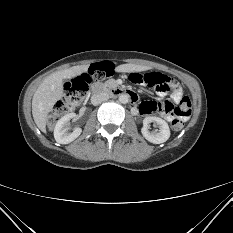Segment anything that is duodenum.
<instances>
[{"label":"duodenum","mask_w":233,"mask_h":233,"mask_svg":"<svg viewBox=\"0 0 233 233\" xmlns=\"http://www.w3.org/2000/svg\"><path fill=\"white\" fill-rule=\"evenodd\" d=\"M90 90L92 93H101L104 90V85L101 82H96L95 84L92 85ZM112 94L115 96H127L131 100H136V98H137L136 94H134L133 92L128 91L120 86H116V87L112 88Z\"/></svg>","instance_id":"obj_1"}]
</instances>
